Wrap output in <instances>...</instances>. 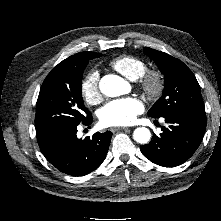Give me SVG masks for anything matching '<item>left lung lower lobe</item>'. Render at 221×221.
Returning a JSON list of instances; mask_svg holds the SVG:
<instances>
[{
	"mask_svg": "<svg viewBox=\"0 0 221 221\" xmlns=\"http://www.w3.org/2000/svg\"><path fill=\"white\" fill-rule=\"evenodd\" d=\"M166 126L160 136L141 146L143 155L152 162L175 167L188 160L199 147L205 130L206 115L196 112H177L164 117Z\"/></svg>",
	"mask_w": 221,
	"mask_h": 221,
	"instance_id": "left-lung-lower-lobe-1",
	"label": "left lung lower lobe"
}]
</instances>
